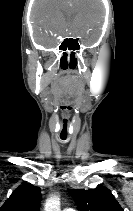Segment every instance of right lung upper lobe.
Returning <instances> with one entry per match:
<instances>
[{
  "instance_id": "1",
  "label": "right lung upper lobe",
  "mask_w": 133,
  "mask_h": 211,
  "mask_svg": "<svg viewBox=\"0 0 133 211\" xmlns=\"http://www.w3.org/2000/svg\"><path fill=\"white\" fill-rule=\"evenodd\" d=\"M41 197L39 187L25 183L13 191L0 211H39Z\"/></svg>"
}]
</instances>
